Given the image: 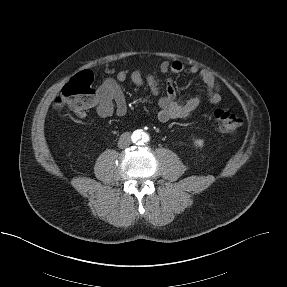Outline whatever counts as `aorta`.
<instances>
[{"label": "aorta", "instance_id": "762f6f07", "mask_svg": "<svg viewBox=\"0 0 287 287\" xmlns=\"http://www.w3.org/2000/svg\"><path fill=\"white\" fill-rule=\"evenodd\" d=\"M133 138L140 143H146L149 140V136L147 133L142 130H137L133 133Z\"/></svg>", "mask_w": 287, "mask_h": 287}]
</instances>
